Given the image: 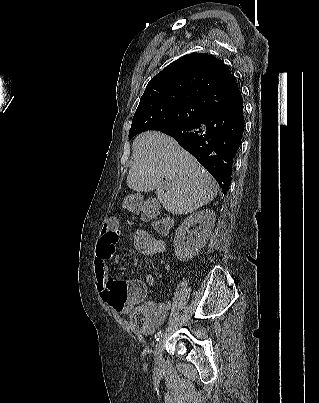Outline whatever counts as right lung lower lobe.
Returning <instances> with one entry per match:
<instances>
[{
    "label": "right lung lower lobe",
    "instance_id": "right-lung-lower-lobe-1",
    "mask_svg": "<svg viewBox=\"0 0 319 403\" xmlns=\"http://www.w3.org/2000/svg\"><path fill=\"white\" fill-rule=\"evenodd\" d=\"M242 104L210 111L192 124L160 129L211 173L224 194L231 183L232 165L244 131Z\"/></svg>",
    "mask_w": 319,
    "mask_h": 403
}]
</instances>
